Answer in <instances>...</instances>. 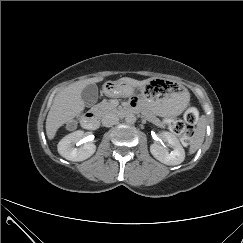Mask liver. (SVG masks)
<instances>
[{
	"instance_id": "1",
	"label": "liver",
	"mask_w": 243,
	"mask_h": 243,
	"mask_svg": "<svg viewBox=\"0 0 243 243\" xmlns=\"http://www.w3.org/2000/svg\"><path fill=\"white\" fill-rule=\"evenodd\" d=\"M102 80L103 77H94L77 81L55 96L46 119V134L49 140L55 137L57 130L61 126L77 117L84 110L85 104L81 98L83 89L89 84H95ZM150 80L138 81L128 77L120 79L121 82L133 87L144 86Z\"/></svg>"
}]
</instances>
